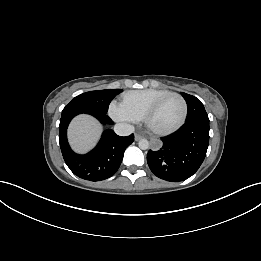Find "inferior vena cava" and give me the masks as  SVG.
Listing matches in <instances>:
<instances>
[{
	"label": "inferior vena cava",
	"instance_id": "1",
	"mask_svg": "<svg viewBox=\"0 0 261 261\" xmlns=\"http://www.w3.org/2000/svg\"><path fill=\"white\" fill-rule=\"evenodd\" d=\"M114 131L119 136H128L134 132V126L127 123H117L114 126Z\"/></svg>",
	"mask_w": 261,
	"mask_h": 261
}]
</instances>
